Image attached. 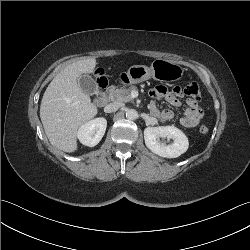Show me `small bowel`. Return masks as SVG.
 I'll use <instances>...</instances> for the list:
<instances>
[{
	"label": "small bowel",
	"mask_w": 250,
	"mask_h": 250,
	"mask_svg": "<svg viewBox=\"0 0 250 250\" xmlns=\"http://www.w3.org/2000/svg\"><path fill=\"white\" fill-rule=\"evenodd\" d=\"M149 93L151 97L155 99L163 98L171 106L178 108L181 106V101L179 97H181L184 93V88L181 85H175L172 88V91L170 92L165 86L158 85L153 87ZM186 103L187 107L184 111L183 116L180 119V123L186 128L196 127L202 119L203 112L196 101L192 99H187ZM150 111L153 116L157 117L163 122L170 121L174 118V113L172 110H161L154 102L150 104Z\"/></svg>",
	"instance_id": "1"
}]
</instances>
